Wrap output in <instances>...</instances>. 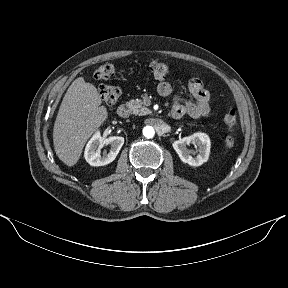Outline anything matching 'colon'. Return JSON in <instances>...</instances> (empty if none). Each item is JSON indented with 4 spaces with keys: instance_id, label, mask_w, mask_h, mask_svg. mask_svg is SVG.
I'll use <instances>...</instances> for the list:
<instances>
[{
    "instance_id": "1",
    "label": "colon",
    "mask_w": 288,
    "mask_h": 288,
    "mask_svg": "<svg viewBox=\"0 0 288 288\" xmlns=\"http://www.w3.org/2000/svg\"><path fill=\"white\" fill-rule=\"evenodd\" d=\"M148 69L155 79L162 80L169 74V67L162 62H151L148 65ZM115 69L112 64L101 65L95 73V77L99 80H108L114 76ZM99 94L101 99L108 105H114L117 103L121 96V90L115 85H101L99 86ZM224 125L227 130L231 131L236 127L237 117L234 111H229L224 116ZM233 146V139L228 137L225 141V147L231 149Z\"/></svg>"
}]
</instances>
